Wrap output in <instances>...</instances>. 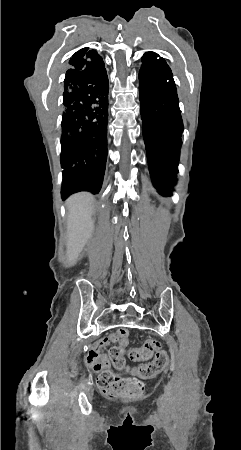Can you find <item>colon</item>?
<instances>
[{"instance_id":"colon-1","label":"colon","mask_w":241,"mask_h":450,"mask_svg":"<svg viewBox=\"0 0 241 450\" xmlns=\"http://www.w3.org/2000/svg\"><path fill=\"white\" fill-rule=\"evenodd\" d=\"M160 350V342L155 339L148 340L143 346L131 348L128 351L122 347L115 346L111 348L109 354L112 365L115 369L124 368L126 355L132 360H150L153 353ZM167 358L161 351L157 353L154 359L143 365L141 374L144 378L152 379L163 371L166 367ZM101 375L97 377L96 384L102 396L108 400H126L139 399L144 394V387L141 381L133 378L121 377L109 369L101 371Z\"/></svg>"}]
</instances>
